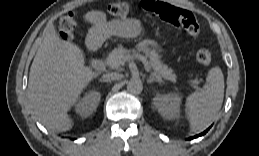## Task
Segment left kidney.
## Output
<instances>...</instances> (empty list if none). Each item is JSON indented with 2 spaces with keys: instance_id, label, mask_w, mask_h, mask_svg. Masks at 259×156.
I'll use <instances>...</instances> for the list:
<instances>
[{
  "instance_id": "5707ae66",
  "label": "left kidney",
  "mask_w": 259,
  "mask_h": 156,
  "mask_svg": "<svg viewBox=\"0 0 259 156\" xmlns=\"http://www.w3.org/2000/svg\"><path fill=\"white\" fill-rule=\"evenodd\" d=\"M153 103L163 118L173 120L180 117L181 96L178 93L157 94Z\"/></svg>"
}]
</instances>
